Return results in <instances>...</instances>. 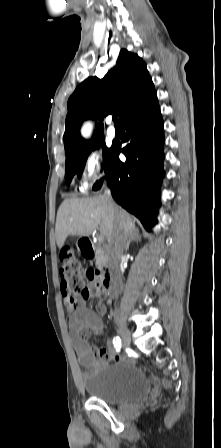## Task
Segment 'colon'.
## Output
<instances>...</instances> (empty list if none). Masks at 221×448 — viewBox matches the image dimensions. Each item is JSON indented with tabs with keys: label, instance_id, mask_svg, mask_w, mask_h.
Wrapping results in <instances>:
<instances>
[{
	"label": "colon",
	"instance_id": "colon-1",
	"mask_svg": "<svg viewBox=\"0 0 221 448\" xmlns=\"http://www.w3.org/2000/svg\"><path fill=\"white\" fill-rule=\"evenodd\" d=\"M61 267V289L71 303H77L84 296L86 285L85 281H94L100 278V273L95 269L84 270L81 262L75 255L72 247H65L60 253ZM132 363V360H127ZM166 384V383H165Z\"/></svg>",
	"mask_w": 221,
	"mask_h": 448
}]
</instances>
